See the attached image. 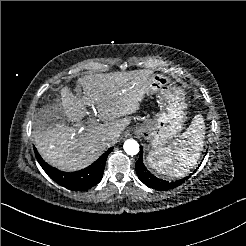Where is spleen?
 Segmentation results:
<instances>
[{
	"mask_svg": "<svg viewBox=\"0 0 246 246\" xmlns=\"http://www.w3.org/2000/svg\"><path fill=\"white\" fill-rule=\"evenodd\" d=\"M204 135L203 118L198 115L170 146L153 152L150 165L158 174L169 178L185 176L197 164Z\"/></svg>",
	"mask_w": 246,
	"mask_h": 246,
	"instance_id": "obj_1",
	"label": "spleen"
}]
</instances>
